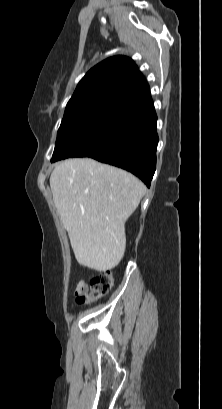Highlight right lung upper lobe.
<instances>
[{
    "label": "right lung upper lobe",
    "instance_id": "1",
    "mask_svg": "<svg viewBox=\"0 0 222 409\" xmlns=\"http://www.w3.org/2000/svg\"><path fill=\"white\" fill-rule=\"evenodd\" d=\"M151 100L150 89L128 57H110L94 66L79 82L66 110L113 104L129 108Z\"/></svg>",
    "mask_w": 222,
    "mask_h": 409
}]
</instances>
